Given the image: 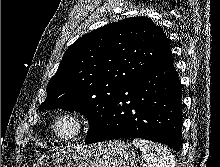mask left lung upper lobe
<instances>
[{
	"mask_svg": "<svg viewBox=\"0 0 220 167\" xmlns=\"http://www.w3.org/2000/svg\"><path fill=\"white\" fill-rule=\"evenodd\" d=\"M169 55L166 34L147 17L105 25L66 50L39 110L83 114L90 125L86 139L91 138L101 129L119 90Z\"/></svg>",
	"mask_w": 220,
	"mask_h": 167,
	"instance_id": "1",
	"label": "left lung upper lobe"
}]
</instances>
